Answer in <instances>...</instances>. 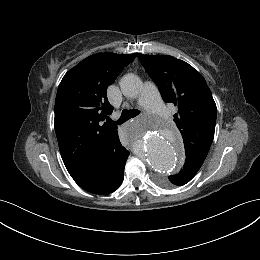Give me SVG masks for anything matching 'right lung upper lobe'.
<instances>
[{
  "instance_id": "1",
  "label": "right lung upper lobe",
  "mask_w": 260,
  "mask_h": 260,
  "mask_svg": "<svg viewBox=\"0 0 260 260\" xmlns=\"http://www.w3.org/2000/svg\"><path fill=\"white\" fill-rule=\"evenodd\" d=\"M134 54H94L63 77L56 95L54 126L63 162L71 176L122 145L117 126L104 123L113 107L106 90Z\"/></svg>"
}]
</instances>
